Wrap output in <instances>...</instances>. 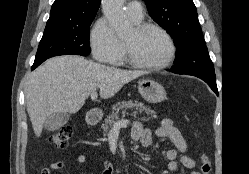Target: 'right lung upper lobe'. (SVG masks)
I'll return each instance as SVG.
<instances>
[{
  "label": "right lung upper lobe",
  "instance_id": "obj_1",
  "mask_svg": "<svg viewBox=\"0 0 249 174\" xmlns=\"http://www.w3.org/2000/svg\"><path fill=\"white\" fill-rule=\"evenodd\" d=\"M101 0H56L44 31L80 25L93 20Z\"/></svg>",
  "mask_w": 249,
  "mask_h": 174
}]
</instances>
